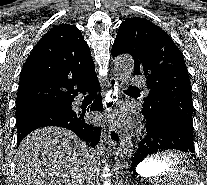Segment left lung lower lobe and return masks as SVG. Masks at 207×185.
<instances>
[{
	"label": "left lung lower lobe",
	"mask_w": 207,
	"mask_h": 185,
	"mask_svg": "<svg viewBox=\"0 0 207 185\" xmlns=\"http://www.w3.org/2000/svg\"><path fill=\"white\" fill-rule=\"evenodd\" d=\"M146 136L139 143L133 158L132 168L146 156L165 150L175 149L195 156L192 127L177 115L162 111H144Z\"/></svg>",
	"instance_id": "obj_1"
}]
</instances>
